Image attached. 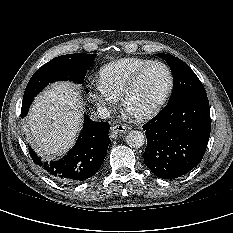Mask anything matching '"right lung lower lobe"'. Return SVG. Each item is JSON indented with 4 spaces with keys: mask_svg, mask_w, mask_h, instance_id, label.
<instances>
[{
    "mask_svg": "<svg viewBox=\"0 0 233 233\" xmlns=\"http://www.w3.org/2000/svg\"><path fill=\"white\" fill-rule=\"evenodd\" d=\"M28 109H22V117ZM108 133L107 122H93L85 116L83 130L75 146L63 159L50 163L42 162L31 148L29 149L30 156L34 163H37L57 181L64 183L83 181L93 176L103 164L110 144Z\"/></svg>",
    "mask_w": 233,
    "mask_h": 233,
    "instance_id": "98d812e1",
    "label": "right lung lower lobe"
}]
</instances>
